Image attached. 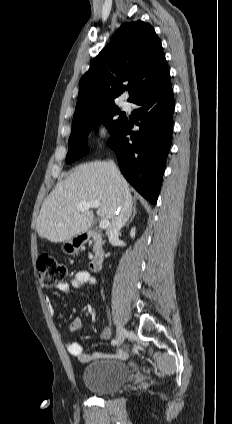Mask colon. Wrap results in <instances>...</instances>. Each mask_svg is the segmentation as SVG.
<instances>
[{"instance_id":"obj_1","label":"colon","mask_w":232,"mask_h":424,"mask_svg":"<svg viewBox=\"0 0 232 424\" xmlns=\"http://www.w3.org/2000/svg\"><path fill=\"white\" fill-rule=\"evenodd\" d=\"M38 279L43 287H52L64 281L68 275L66 265L60 263L52 254H42L37 264Z\"/></svg>"}]
</instances>
